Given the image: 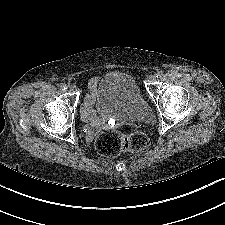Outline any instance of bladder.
Returning a JSON list of instances; mask_svg holds the SVG:
<instances>
[{"label":"bladder","instance_id":"bladder-1","mask_svg":"<svg viewBox=\"0 0 225 225\" xmlns=\"http://www.w3.org/2000/svg\"><path fill=\"white\" fill-rule=\"evenodd\" d=\"M98 113L126 121L147 122L153 114L134 77L126 72L103 75L94 89Z\"/></svg>","mask_w":225,"mask_h":225}]
</instances>
